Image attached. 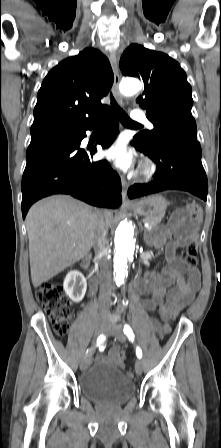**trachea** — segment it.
I'll return each mask as SVG.
<instances>
[{
    "mask_svg": "<svg viewBox=\"0 0 221 448\" xmlns=\"http://www.w3.org/2000/svg\"><path fill=\"white\" fill-rule=\"evenodd\" d=\"M110 99H111V106L114 109L117 117L119 118L120 122L124 125V126H128V127H140V124L135 123L134 121H132L130 119V117L124 112V110L122 108H120V106L116 103L113 95H110Z\"/></svg>",
    "mask_w": 221,
    "mask_h": 448,
    "instance_id": "obj_1",
    "label": "trachea"
}]
</instances>
